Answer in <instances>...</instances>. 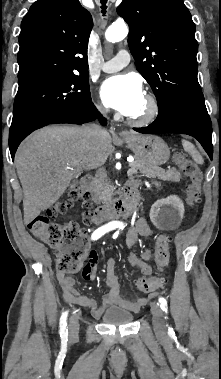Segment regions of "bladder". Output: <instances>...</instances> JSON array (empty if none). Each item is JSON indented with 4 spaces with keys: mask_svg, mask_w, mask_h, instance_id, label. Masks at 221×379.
I'll return each mask as SVG.
<instances>
[{
    "mask_svg": "<svg viewBox=\"0 0 221 379\" xmlns=\"http://www.w3.org/2000/svg\"><path fill=\"white\" fill-rule=\"evenodd\" d=\"M101 319L106 324L123 325L131 323L134 320V314L120 307H111L103 313Z\"/></svg>",
    "mask_w": 221,
    "mask_h": 379,
    "instance_id": "obj_1",
    "label": "bladder"
}]
</instances>
